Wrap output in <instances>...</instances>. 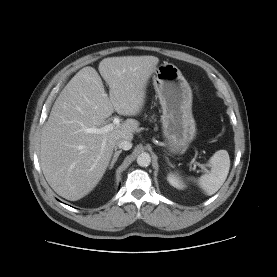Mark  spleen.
Masks as SVG:
<instances>
[{
	"instance_id": "obj_1",
	"label": "spleen",
	"mask_w": 277,
	"mask_h": 277,
	"mask_svg": "<svg viewBox=\"0 0 277 277\" xmlns=\"http://www.w3.org/2000/svg\"><path fill=\"white\" fill-rule=\"evenodd\" d=\"M211 171L198 179V184L207 195L215 194L227 179L230 158L226 150H218L209 160Z\"/></svg>"
}]
</instances>
